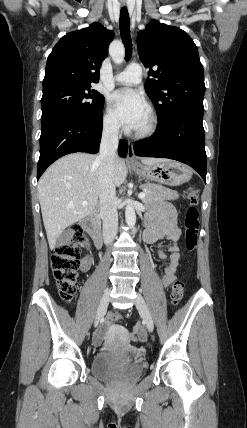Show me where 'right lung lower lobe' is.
I'll return each mask as SVG.
<instances>
[{
  "label": "right lung lower lobe",
  "instance_id": "1",
  "mask_svg": "<svg viewBox=\"0 0 247 428\" xmlns=\"http://www.w3.org/2000/svg\"><path fill=\"white\" fill-rule=\"evenodd\" d=\"M102 114L96 119H81L71 115L56 114L41 119L40 158L37 180L58 158L74 152L95 154L99 150L102 134ZM128 144L121 140L119 155L125 157Z\"/></svg>",
  "mask_w": 247,
  "mask_h": 428
}]
</instances>
